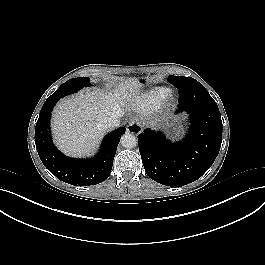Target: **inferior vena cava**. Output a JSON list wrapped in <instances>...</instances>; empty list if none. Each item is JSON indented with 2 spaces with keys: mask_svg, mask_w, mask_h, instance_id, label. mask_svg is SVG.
<instances>
[{
  "mask_svg": "<svg viewBox=\"0 0 265 265\" xmlns=\"http://www.w3.org/2000/svg\"><path fill=\"white\" fill-rule=\"evenodd\" d=\"M124 113L122 111H118L116 113H111L109 116L103 118L98 126L102 129H108L113 127H118L120 124L119 117H121Z\"/></svg>",
  "mask_w": 265,
  "mask_h": 265,
  "instance_id": "inferior-vena-cava-1",
  "label": "inferior vena cava"
}]
</instances>
